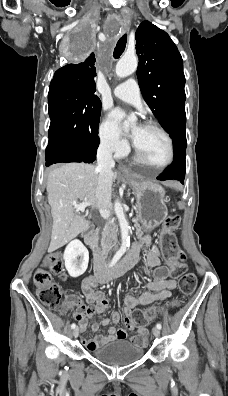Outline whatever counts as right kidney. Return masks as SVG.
Returning <instances> with one entry per match:
<instances>
[{
	"instance_id": "ca27d5eb",
	"label": "right kidney",
	"mask_w": 228,
	"mask_h": 396,
	"mask_svg": "<svg viewBox=\"0 0 228 396\" xmlns=\"http://www.w3.org/2000/svg\"><path fill=\"white\" fill-rule=\"evenodd\" d=\"M63 258L69 275L76 278L86 271L89 262V252L80 240L75 239L66 246Z\"/></svg>"
}]
</instances>
